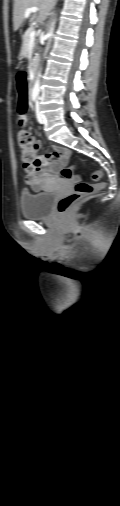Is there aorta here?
<instances>
[{
    "mask_svg": "<svg viewBox=\"0 0 120 506\" xmlns=\"http://www.w3.org/2000/svg\"><path fill=\"white\" fill-rule=\"evenodd\" d=\"M53 32H54V23H53L52 27L50 28L49 33L47 34V38L49 39V41H48V44H47L45 52H47V50L49 48V45H50V42H51V38L53 37ZM40 77H41V72L39 71L37 79H36L35 84H34L33 89H32L33 95H36V96L39 95V92H40Z\"/></svg>",
    "mask_w": 120,
    "mask_h": 506,
    "instance_id": "aorta-1",
    "label": "aorta"
}]
</instances>
